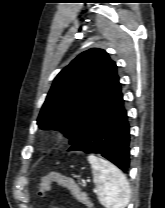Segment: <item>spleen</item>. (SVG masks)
<instances>
[{
  "label": "spleen",
  "instance_id": "spleen-1",
  "mask_svg": "<svg viewBox=\"0 0 165 208\" xmlns=\"http://www.w3.org/2000/svg\"><path fill=\"white\" fill-rule=\"evenodd\" d=\"M93 169L99 202L105 208H125L130 199V186L120 169L94 155L88 156Z\"/></svg>",
  "mask_w": 165,
  "mask_h": 208
}]
</instances>
